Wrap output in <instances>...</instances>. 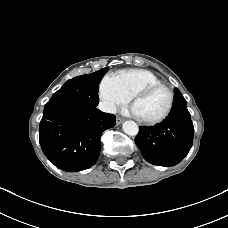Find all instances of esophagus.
<instances>
[{
    "label": "esophagus",
    "instance_id": "esophagus-1",
    "mask_svg": "<svg viewBox=\"0 0 228 228\" xmlns=\"http://www.w3.org/2000/svg\"><path fill=\"white\" fill-rule=\"evenodd\" d=\"M122 122H123V119L122 118H120V117H117L116 118V124L117 125L121 124Z\"/></svg>",
    "mask_w": 228,
    "mask_h": 228
}]
</instances>
